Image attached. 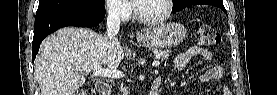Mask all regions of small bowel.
<instances>
[{"mask_svg":"<svg viewBox=\"0 0 277 95\" xmlns=\"http://www.w3.org/2000/svg\"><path fill=\"white\" fill-rule=\"evenodd\" d=\"M196 57H203L207 61H210L211 53L196 46L190 47L189 49L185 50L175 57L174 66L177 70H182L185 68L189 61ZM222 76L223 69L219 66H213L209 69L208 73L204 75V80H213ZM223 94H228V91L224 89Z\"/></svg>","mask_w":277,"mask_h":95,"instance_id":"1","label":"small bowel"}]
</instances>
